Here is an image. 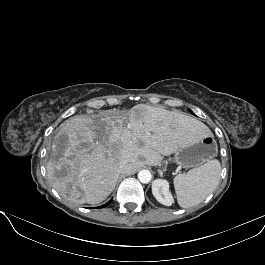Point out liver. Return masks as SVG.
I'll return each instance as SVG.
<instances>
[{"label": "liver", "instance_id": "obj_1", "mask_svg": "<svg viewBox=\"0 0 265 265\" xmlns=\"http://www.w3.org/2000/svg\"><path fill=\"white\" fill-rule=\"evenodd\" d=\"M210 134L202 122L182 113L138 104L130 111L108 110L92 117L73 116L62 123L47 162L52 187L76 204H98L114 190L119 163L128 174L160 164L186 140ZM63 141V148L58 149Z\"/></svg>", "mask_w": 265, "mask_h": 265}]
</instances>
